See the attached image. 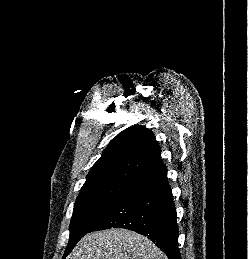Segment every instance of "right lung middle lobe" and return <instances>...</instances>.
Segmentation results:
<instances>
[{"instance_id": "dd1d6c3e", "label": "right lung middle lobe", "mask_w": 248, "mask_h": 259, "mask_svg": "<svg viewBox=\"0 0 248 259\" xmlns=\"http://www.w3.org/2000/svg\"><path fill=\"white\" fill-rule=\"evenodd\" d=\"M130 186L129 183L112 181L82 187L74 205L70 237L64 257L86 233L90 232Z\"/></svg>"}]
</instances>
